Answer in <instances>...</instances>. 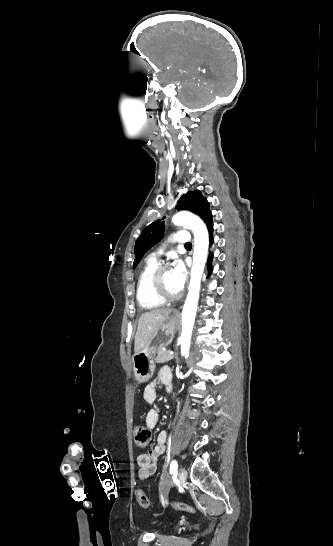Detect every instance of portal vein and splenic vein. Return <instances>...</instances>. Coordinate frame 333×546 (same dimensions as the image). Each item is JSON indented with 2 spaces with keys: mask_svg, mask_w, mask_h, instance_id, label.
Segmentation results:
<instances>
[{
  "mask_svg": "<svg viewBox=\"0 0 333 546\" xmlns=\"http://www.w3.org/2000/svg\"><path fill=\"white\" fill-rule=\"evenodd\" d=\"M169 354H170V355H173V354H174V352H173V351H169Z\"/></svg>",
  "mask_w": 333,
  "mask_h": 546,
  "instance_id": "18ae733b",
  "label": "portal vein and splenic vein"
}]
</instances>
